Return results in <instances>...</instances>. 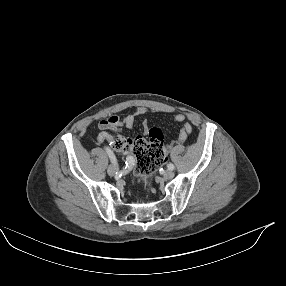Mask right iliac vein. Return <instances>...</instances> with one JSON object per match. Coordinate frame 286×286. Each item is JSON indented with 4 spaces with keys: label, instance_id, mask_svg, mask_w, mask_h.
I'll return each mask as SVG.
<instances>
[{
    "label": "right iliac vein",
    "instance_id": "obj_1",
    "mask_svg": "<svg viewBox=\"0 0 286 286\" xmlns=\"http://www.w3.org/2000/svg\"><path fill=\"white\" fill-rule=\"evenodd\" d=\"M118 171H119V167L118 166H114V165L109 166L108 170H107V172H108V174L110 176L116 175Z\"/></svg>",
    "mask_w": 286,
    "mask_h": 286
}]
</instances>
